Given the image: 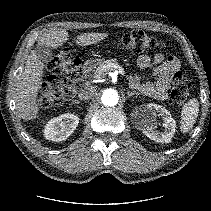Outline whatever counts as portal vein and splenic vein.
<instances>
[{"label": "portal vein and splenic vein", "mask_w": 211, "mask_h": 211, "mask_svg": "<svg viewBox=\"0 0 211 211\" xmlns=\"http://www.w3.org/2000/svg\"><path fill=\"white\" fill-rule=\"evenodd\" d=\"M111 67L112 68H114V69H117L118 68V72L121 74V75H124L125 74V71H124V69L121 67V66H119V65H111ZM97 79H99L100 80V76L99 75H96L95 76Z\"/></svg>", "instance_id": "portal-vein-and-splenic-vein-1"}]
</instances>
